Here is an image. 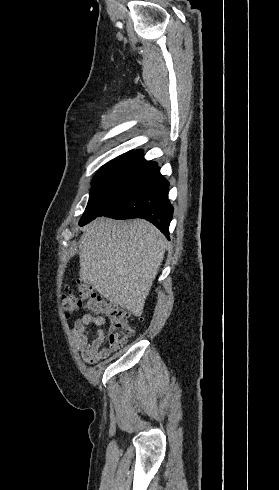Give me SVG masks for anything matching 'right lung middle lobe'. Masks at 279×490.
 <instances>
[{"mask_svg": "<svg viewBox=\"0 0 279 490\" xmlns=\"http://www.w3.org/2000/svg\"><path fill=\"white\" fill-rule=\"evenodd\" d=\"M159 172L156 164L110 162L100 168L94 179L85 212L79 224L88 223L99 216L105 202L119 190L146 182Z\"/></svg>", "mask_w": 279, "mask_h": 490, "instance_id": "obj_1", "label": "right lung middle lobe"}]
</instances>
